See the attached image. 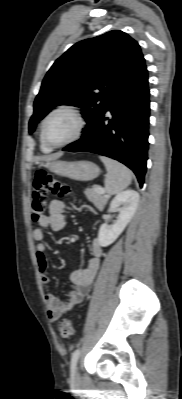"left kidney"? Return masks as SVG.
I'll list each match as a JSON object with an SVG mask.
<instances>
[{
    "label": "left kidney",
    "mask_w": 182,
    "mask_h": 399,
    "mask_svg": "<svg viewBox=\"0 0 182 399\" xmlns=\"http://www.w3.org/2000/svg\"><path fill=\"white\" fill-rule=\"evenodd\" d=\"M139 202V194L134 190L119 193L110 203L108 212L119 211L113 225L102 224L98 233V243L102 247L111 245L131 221Z\"/></svg>",
    "instance_id": "obj_1"
}]
</instances>
